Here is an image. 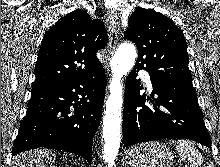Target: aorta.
I'll return each instance as SVG.
<instances>
[{
  "label": "aorta",
  "instance_id": "aorta-1",
  "mask_svg": "<svg viewBox=\"0 0 220 167\" xmlns=\"http://www.w3.org/2000/svg\"><path fill=\"white\" fill-rule=\"evenodd\" d=\"M136 55L135 46L123 42L118 47L110 63L112 80L103 119V139L105 142L103 158L108 167L114 166L120 147L123 93L121 79L133 68Z\"/></svg>",
  "mask_w": 220,
  "mask_h": 167
}]
</instances>
